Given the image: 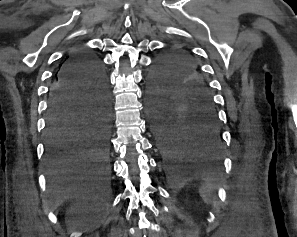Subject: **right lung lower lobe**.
<instances>
[{
    "label": "right lung lower lobe",
    "mask_w": 297,
    "mask_h": 237,
    "mask_svg": "<svg viewBox=\"0 0 297 237\" xmlns=\"http://www.w3.org/2000/svg\"><path fill=\"white\" fill-rule=\"evenodd\" d=\"M110 106L98 59L76 49L59 66L50 87L45 158L52 174L110 171Z\"/></svg>",
    "instance_id": "98d812e1"
}]
</instances>
